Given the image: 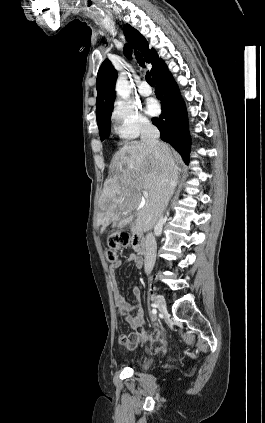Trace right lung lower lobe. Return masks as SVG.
<instances>
[{"label":"right lung lower lobe","mask_w":265,"mask_h":423,"mask_svg":"<svg viewBox=\"0 0 265 423\" xmlns=\"http://www.w3.org/2000/svg\"><path fill=\"white\" fill-rule=\"evenodd\" d=\"M155 93L161 100L162 114L153 118V124L160 130L161 139L179 152L184 161H189L190 137L187 130V113L184 102L179 98L178 87L167 69L162 65L153 75Z\"/></svg>","instance_id":"right-lung-lower-lobe-1"}]
</instances>
